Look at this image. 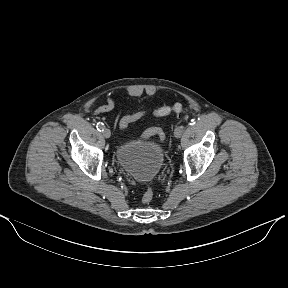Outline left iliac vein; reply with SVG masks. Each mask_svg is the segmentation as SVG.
<instances>
[{
	"label": "left iliac vein",
	"instance_id": "4c4485c4",
	"mask_svg": "<svg viewBox=\"0 0 288 288\" xmlns=\"http://www.w3.org/2000/svg\"><path fill=\"white\" fill-rule=\"evenodd\" d=\"M184 130H180L179 126L175 128L174 130V136L176 138H180L182 136Z\"/></svg>",
	"mask_w": 288,
	"mask_h": 288
}]
</instances>
